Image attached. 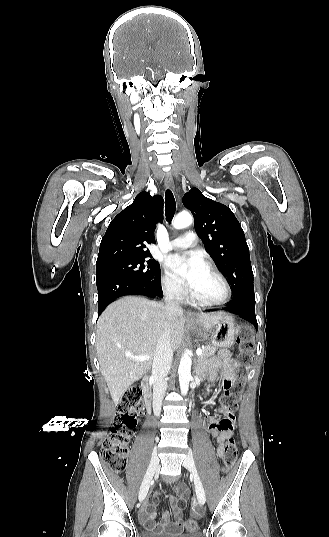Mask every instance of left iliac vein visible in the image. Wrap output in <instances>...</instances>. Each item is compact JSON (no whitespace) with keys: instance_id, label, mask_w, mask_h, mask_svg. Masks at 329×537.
<instances>
[{"instance_id":"left-iliac-vein-1","label":"left iliac vein","mask_w":329,"mask_h":537,"mask_svg":"<svg viewBox=\"0 0 329 537\" xmlns=\"http://www.w3.org/2000/svg\"><path fill=\"white\" fill-rule=\"evenodd\" d=\"M183 466L188 469L193 476L198 504L201 506L204 505L206 501L205 490L203 488V485L195 467L193 457L191 455L188 454L187 457L184 459Z\"/></svg>"}]
</instances>
